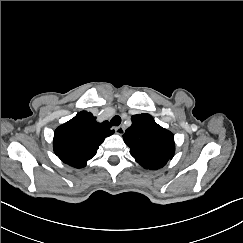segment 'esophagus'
<instances>
[{"mask_svg": "<svg viewBox=\"0 0 243 243\" xmlns=\"http://www.w3.org/2000/svg\"><path fill=\"white\" fill-rule=\"evenodd\" d=\"M113 129L115 130L116 134H118V135H122L125 131L123 126H115V127H113Z\"/></svg>", "mask_w": 243, "mask_h": 243, "instance_id": "esophagus-1", "label": "esophagus"}]
</instances>
